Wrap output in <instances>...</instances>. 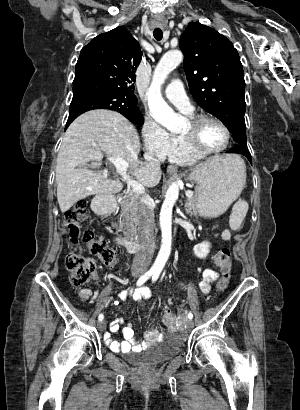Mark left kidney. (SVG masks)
Returning a JSON list of instances; mask_svg holds the SVG:
<instances>
[{
  "instance_id": "left-kidney-1",
  "label": "left kidney",
  "mask_w": 300,
  "mask_h": 410,
  "mask_svg": "<svg viewBox=\"0 0 300 410\" xmlns=\"http://www.w3.org/2000/svg\"><path fill=\"white\" fill-rule=\"evenodd\" d=\"M210 243L208 241H204L200 244H197L193 248V252L195 256L198 258H206L209 254Z\"/></svg>"
}]
</instances>
